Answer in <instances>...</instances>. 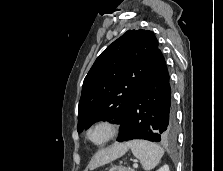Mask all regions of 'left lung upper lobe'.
<instances>
[{
  "mask_svg": "<svg viewBox=\"0 0 223 171\" xmlns=\"http://www.w3.org/2000/svg\"><path fill=\"white\" fill-rule=\"evenodd\" d=\"M158 49L152 31L128 30L100 54L83 82L78 132L99 120L121 124Z\"/></svg>",
  "mask_w": 223,
  "mask_h": 171,
  "instance_id": "5c2ea615",
  "label": "left lung upper lobe"
}]
</instances>
